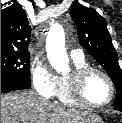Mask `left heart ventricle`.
Segmentation results:
<instances>
[{
    "label": "left heart ventricle",
    "mask_w": 122,
    "mask_h": 123,
    "mask_svg": "<svg viewBox=\"0 0 122 123\" xmlns=\"http://www.w3.org/2000/svg\"><path fill=\"white\" fill-rule=\"evenodd\" d=\"M86 98L94 103H103L110 97L111 90L107 80L99 75L92 74L84 87Z\"/></svg>",
    "instance_id": "1"
}]
</instances>
